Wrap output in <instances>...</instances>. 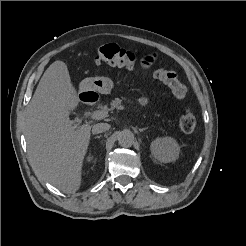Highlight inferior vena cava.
Masks as SVG:
<instances>
[{
  "label": "inferior vena cava",
  "instance_id": "obj_1",
  "mask_svg": "<svg viewBox=\"0 0 246 246\" xmlns=\"http://www.w3.org/2000/svg\"><path fill=\"white\" fill-rule=\"evenodd\" d=\"M110 129V125L107 123H97L94 124L92 127V133L93 134H99L102 132H105Z\"/></svg>",
  "mask_w": 246,
  "mask_h": 246
}]
</instances>
